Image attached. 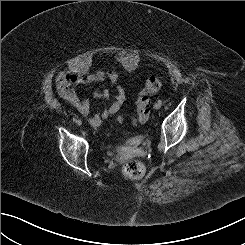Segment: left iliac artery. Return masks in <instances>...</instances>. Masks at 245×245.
<instances>
[{
    "instance_id": "left-iliac-artery-1",
    "label": "left iliac artery",
    "mask_w": 245,
    "mask_h": 245,
    "mask_svg": "<svg viewBox=\"0 0 245 245\" xmlns=\"http://www.w3.org/2000/svg\"><path fill=\"white\" fill-rule=\"evenodd\" d=\"M157 103H158L159 105H162V100H158Z\"/></svg>"
}]
</instances>
